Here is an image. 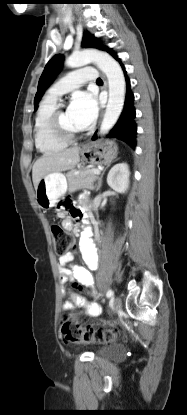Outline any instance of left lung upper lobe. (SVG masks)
I'll return each instance as SVG.
<instances>
[{"instance_id":"1","label":"left lung upper lobe","mask_w":187,"mask_h":415,"mask_svg":"<svg viewBox=\"0 0 187 415\" xmlns=\"http://www.w3.org/2000/svg\"><path fill=\"white\" fill-rule=\"evenodd\" d=\"M82 46L85 48H97L105 50L106 47L100 44V42L94 38L89 32H84L82 39ZM64 58L63 55L57 54L54 55L49 62L46 64L44 71L39 79L38 90L34 98V107L37 108V104L40 101L44 91L49 87L53 82L54 78L60 71Z\"/></svg>"}]
</instances>
